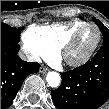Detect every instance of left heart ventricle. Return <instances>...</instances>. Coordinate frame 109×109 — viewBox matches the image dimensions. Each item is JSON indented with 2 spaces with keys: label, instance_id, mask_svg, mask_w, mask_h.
I'll return each mask as SVG.
<instances>
[{
  "label": "left heart ventricle",
  "instance_id": "obj_1",
  "mask_svg": "<svg viewBox=\"0 0 109 109\" xmlns=\"http://www.w3.org/2000/svg\"><path fill=\"white\" fill-rule=\"evenodd\" d=\"M97 39V30L94 27H87L79 36L76 44L69 52L73 59L79 58L86 54L93 46Z\"/></svg>",
  "mask_w": 109,
  "mask_h": 109
}]
</instances>
